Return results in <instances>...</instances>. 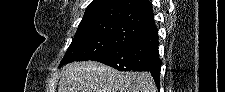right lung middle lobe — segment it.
<instances>
[{"mask_svg": "<svg viewBox=\"0 0 225 92\" xmlns=\"http://www.w3.org/2000/svg\"><path fill=\"white\" fill-rule=\"evenodd\" d=\"M143 34L135 27L115 22L78 26L59 66L73 61L91 60L95 56L128 43Z\"/></svg>", "mask_w": 225, "mask_h": 92, "instance_id": "obj_1", "label": "right lung middle lobe"}]
</instances>
